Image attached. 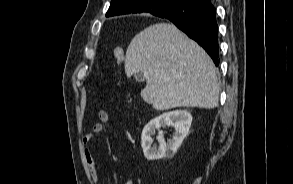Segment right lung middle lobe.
<instances>
[{
    "instance_id": "dd1d6c3e",
    "label": "right lung middle lobe",
    "mask_w": 293,
    "mask_h": 184,
    "mask_svg": "<svg viewBox=\"0 0 293 184\" xmlns=\"http://www.w3.org/2000/svg\"><path fill=\"white\" fill-rule=\"evenodd\" d=\"M169 2L170 1H167V0H157L153 2V5L156 10H162L169 5Z\"/></svg>"
}]
</instances>
